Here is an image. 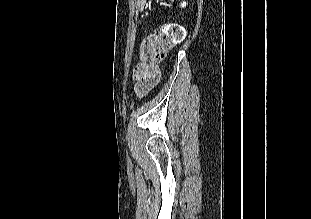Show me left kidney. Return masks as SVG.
I'll return each mask as SVG.
<instances>
[{
  "instance_id": "1",
  "label": "left kidney",
  "mask_w": 311,
  "mask_h": 219,
  "mask_svg": "<svg viewBox=\"0 0 311 219\" xmlns=\"http://www.w3.org/2000/svg\"><path fill=\"white\" fill-rule=\"evenodd\" d=\"M187 3L184 1L183 3H181V7L184 8L186 7Z\"/></svg>"
}]
</instances>
